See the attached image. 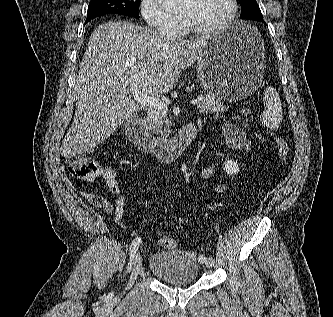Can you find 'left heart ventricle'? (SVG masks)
<instances>
[{"label": "left heart ventricle", "mask_w": 333, "mask_h": 317, "mask_svg": "<svg viewBox=\"0 0 333 317\" xmlns=\"http://www.w3.org/2000/svg\"><path fill=\"white\" fill-rule=\"evenodd\" d=\"M230 9L229 0H183L178 12L200 27H211L222 22Z\"/></svg>", "instance_id": "obj_1"}]
</instances>
